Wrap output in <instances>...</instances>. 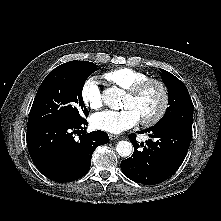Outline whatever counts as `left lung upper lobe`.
<instances>
[{"label": "left lung upper lobe", "mask_w": 221, "mask_h": 221, "mask_svg": "<svg viewBox=\"0 0 221 221\" xmlns=\"http://www.w3.org/2000/svg\"><path fill=\"white\" fill-rule=\"evenodd\" d=\"M161 78L168 88L169 107L153 127L173 124L192 127L193 103L186 86L173 74L163 69H161Z\"/></svg>", "instance_id": "left-lung-upper-lobe-1"}]
</instances>
